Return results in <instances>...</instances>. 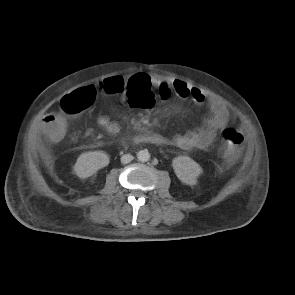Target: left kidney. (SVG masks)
Masks as SVG:
<instances>
[{"mask_svg": "<svg viewBox=\"0 0 295 295\" xmlns=\"http://www.w3.org/2000/svg\"><path fill=\"white\" fill-rule=\"evenodd\" d=\"M172 166L178 179L190 186L197 183V177L202 171L200 165L188 156L175 157Z\"/></svg>", "mask_w": 295, "mask_h": 295, "instance_id": "5707ae66", "label": "left kidney"}]
</instances>
